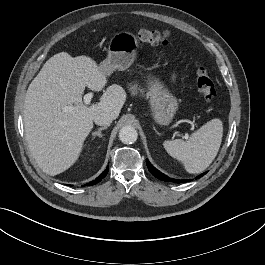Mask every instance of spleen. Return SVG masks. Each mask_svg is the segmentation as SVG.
Returning a JSON list of instances; mask_svg holds the SVG:
<instances>
[{
	"instance_id": "1",
	"label": "spleen",
	"mask_w": 265,
	"mask_h": 265,
	"mask_svg": "<svg viewBox=\"0 0 265 265\" xmlns=\"http://www.w3.org/2000/svg\"><path fill=\"white\" fill-rule=\"evenodd\" d=\"M222 136V121L212 119L192 133L189 140L165 141L163 146L168 154L184 164L187 172L197 174L204 171L215 159Z\"/></svg>"
}]
</instances>
